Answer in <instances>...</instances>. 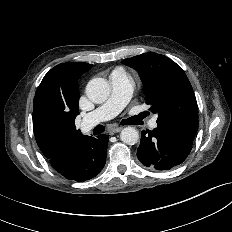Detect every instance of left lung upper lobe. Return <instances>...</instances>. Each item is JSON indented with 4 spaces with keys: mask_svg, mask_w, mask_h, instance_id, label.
<instances>
[{
    "mask_svg": "<svg viewBox=\"0 0 232 232\" xmlns=\"http://www.w3.org/2000/svg\"><path fill=\"white\" fill-rule=\"evenodd\" d=\"M138 71L146 103L157 120L169 117L198 119V106L192 86L181 67L164 55L144 53L122 61Z\"/></svg>",
    "mask_w": 232,
    "mask_h": 232,
    "instance_id": "left-lung-upper-lobe-1",
    "label": "left lung upper lobe"
}]
</instances>
